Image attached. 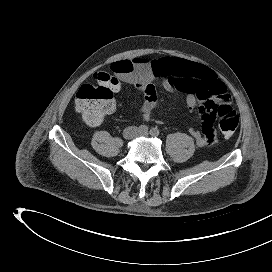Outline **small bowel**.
<instances>
[{"mask_svg":"<svg viewBox=\"0 0 272 272\" xmlns=\"http://www.w3.org/2000/svg\"><path fill=\"white\" fill-rule=\"evenodd\" d=\"M118 81L133 85L144 94L138 112L150 120L157 106L158 95L153 80L162 78V87L167 92L181 91L186 94L185 105L189 110L199 108L202 125L200 131L191 128L190 134L199 147L210 146L217 137V115L219 102H229L231 97L226 85L207 66L181 58L164 57L158 60L134 58L119 60L111 66ZM115 110V104L108 114Z\"/></svg>","mask_w":272,"mask_h":272,"instance_id":"1","label":"small bowel"}]
</instances>
